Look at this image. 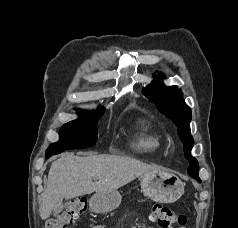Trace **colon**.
<instances>
[{
	"label": "colon",
	"instance_id": "colon-1",
	"mask_svg": "<svg viewBox=\"0 0 238 228\" xmlns=\"http://www.w3.org/2000/svg\"><path fill=\"white\" fill-rule=\"evenodd\" d=\"M87 207L84 198H76L66 205L63 209L57 211L45 224V228H68V226L79 216H81ZM150 218L159 228H183L187 223V218L183 214H178L172 209L154 204Z\"/></svg>",
	"mask_w": 238,
	"mask_h": 228
}]
</instances>
